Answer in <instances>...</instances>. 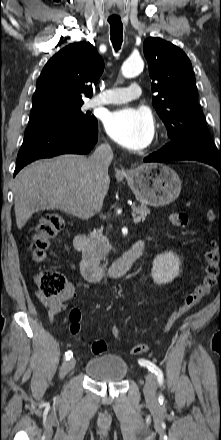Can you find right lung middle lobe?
<instances>
[{
    "mask_svg": "<svg viewBox=\"0 0 221 440\" xmlns=\"http://www.w3.org/2000/svg\"><path fill=\"white\" fill-rule=\"evenodd\" d=\"M80 104H52L31 110L28 126L39 123H59L70 127H90L97 119L81 111Z\"/></svg>",
    "mask_w": 221,
    "mask_h": 440,
    "instance_id": "1",
    "label": "right lung middle lobe"
}]
</instances>
